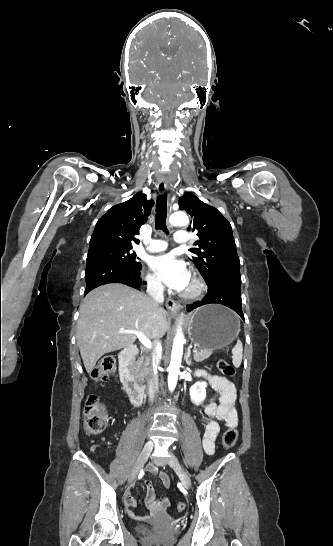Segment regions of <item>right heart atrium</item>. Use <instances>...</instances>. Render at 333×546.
<instances>
[{"label":"right heart atrium","instance_id":"right-heart-atrium-1","mask_svg":"<svg viewBox=\"0 0 333 546\" xmlns=\"http://www.w3.org/2000/svg\"><path fill=\"white\" fill-rule=\"evenodd\" d=\"M145 281H146L147 286L152 290H159V289L162 288V285H161V282L159 281V279L155 275H153L151 273H148L145 276Z\"/></svg>","mask_w":333,"mask_h":546}]
</instances>
